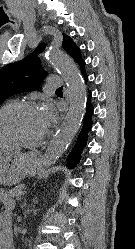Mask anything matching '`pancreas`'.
Listing matches in <instances>:
<instances>
[{"instance_id":"pancreas-1","label":"pancreas","mask_w":135,"mask_h":249,"mask_svg":"<svg viewBox=\"0 0 135 249\" xmlns=\"http://www.w3.org/2000/svg\"><path fill=\"white\" fill-rule=\"evenodd\" d=\"M21 192V188L17 187V188H13L11 189L7 194L8 198L11 200V198H14V197H19L20 196V193Z\"/></svg>"}]
</instances>
